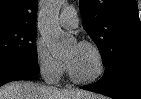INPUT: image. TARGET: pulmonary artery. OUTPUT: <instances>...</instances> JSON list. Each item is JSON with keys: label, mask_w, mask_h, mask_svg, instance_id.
<instances>
[{"label": "pulmonary artery", "mask_w": 141, "mask_h": 99, "mask_svg": "<svg viewBox=\"0 0 141 99\" xmlns=\"http://www.w3.org/2000/svg\"><path fill=\"white\" fill-rule=\"evenodd\" d=\"M60 25L65 29H73L78 25L77 12L73 7L65 8L59 18Z\"/></svg>", "instance_id": "obj_1"}]
</instances>
